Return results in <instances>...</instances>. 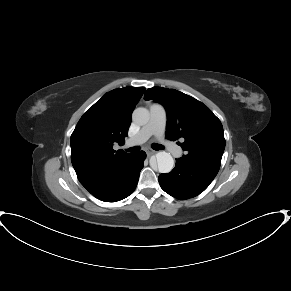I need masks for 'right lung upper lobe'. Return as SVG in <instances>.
Instances as JSON below:
<instances>
[{
	"mask_svg": "<svg viewBox=\"0 0 291 291\" xmlns=\"http://www.w3.org/2000/svg\"><path fill=\"white\" fill-rule=\"evenodd\" d=\"M144 87H124L107 92L77 123L71 135V161L77 175L111 166L128 157L115 151L128 136L132 112Z\"/></svg>",
	"mask_w": 291,
	"mask_h": 291,
	"instance_id": "right-lung-upper-lobe-1",
	"label": "right lung upper lobe"
}]
</instances>
